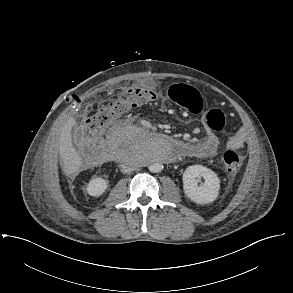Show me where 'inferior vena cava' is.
<instances>
[{"mask_svg":"<svg viewBox=\"0 0 293 293\" xmlns=\"http://www.w3.org/2000/svg\"><path fill=\"white\" fill-rule=\"evenodd\" d=\"M135 167L133 165H122L121 171L122 173H129L133 171Z\"/></svg>","mask_w":293,"mask_h":293,"instance_id":"obj_1","label":"inferior vena cava"}]
</instances>
